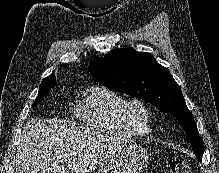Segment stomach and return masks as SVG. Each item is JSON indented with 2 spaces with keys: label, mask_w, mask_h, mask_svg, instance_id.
I'll use <instances>...</instances> for the list:
<instances>
[{
  "label": "stomach",
  "mask_w": 219,
  "mask_h": 173,
  "mask_svg": "<svg viewBox=\"0 0 219 173\" xmlns=\"http://www.w3.org/2000/svg\"><path fill=\"white\" fill-rule=\"evenodd\" d=\"M148 160L149 153L144 146L125 143L102 161L96 173H139Z\"/></svg>",
  "instance_id": "stomach-1"
}]
</instances>
